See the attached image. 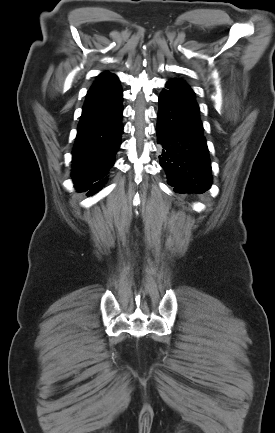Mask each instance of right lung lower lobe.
Listing matches in <instances>:
<instances>
[{
    "instance_id": "1",
    "label": "right lung lower lobe",
    "mask_w": 275,
    "mask_h": 433,
    "mask_svg": "<svg viewBox=\"0 0 275 433\" xmlns=\"http://www.w3.org/2000/svg\"><path fill=\"white\" fill-rule=\"evenodd\" d=\"M122 113L119 81L90 88L72 151V180L78 191L93 195L105 183L121 142Z\"/></svg>"
}]
</instances>
